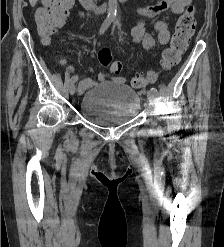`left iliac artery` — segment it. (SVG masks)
<instances>
[{
    "label": "left iliac artery",
    "mask_w": 224,
    "mask_h": 247,
    "mask_svg": "<svg viewBox=\"0 0 224 247\" xmlns=\"http://www.w3.org/2000/svg\"><path fill=\"white\" fill-rule=\"evenodd\" d=\"M155 95H157L158 94V91H157V89L156 88H154V87H151V89H150Z\"/></svg>",
    "instance_id": "obj_1"
}]
</instances>
